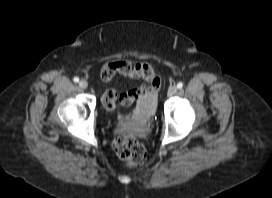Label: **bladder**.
<instances>
[{
    "label": "bladder",
    "mask_w": 272,
    "mask_h": 198,
    "mask_svg": "<svg viewBox=\"0 0 272 198\" xmlns=\"http://www.w3.org/2000/svg\"><path fill=\"white\" fill-rule=\"evenodd\" d=\"M156 111V99L150 98L140 101L134 109L132 116L140 123H147L154 116Z\"/></svg>",
    "instance_id": "obj_1"
}]
</instances>
